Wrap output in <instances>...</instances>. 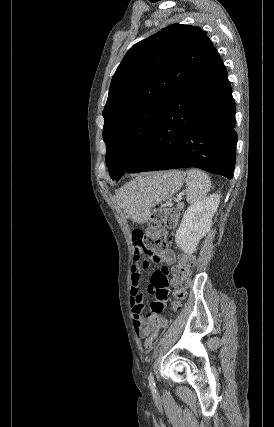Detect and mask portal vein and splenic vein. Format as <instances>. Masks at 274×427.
Listing matches in <instances>:
<instances>
[{
	"label": "portal vein and splenic vein",
	"instance_id": "1",
	"mask_svg": "<svg viewBox=\"0 0 274 427\" xmlns=\"http://www.w3.org/2000/svg\"><path fill=\"white\" fill-rule=\"evenodd\" d=\"M177 200H182V198H177Z\"/></svg>",
	"mask_w": 274,
	"mask_h": 427
}]
</instances>
